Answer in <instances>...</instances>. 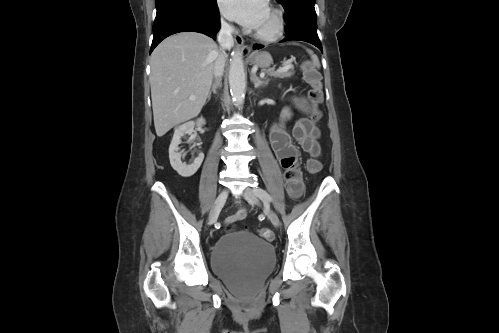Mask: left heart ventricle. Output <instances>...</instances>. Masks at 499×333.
Instances as JSON below:
<instances>
[{
	"label": "left heart ventricle",
	"instance_id": "obj_1",
	"mask_svg": "<svg viewBox=\"0 0 499 333\" xmlns=\"http://www.w3.org/2000/svg\"><path fill=\"white\" fill-rule=\"evenodd\" d=\"M274 24V19L268 11L261 21L260 25L257 27V30L269 32L274 28Z\"/></svg>",
	"mask_w": 499,
	"mask_h": 333
}]
</instances>
